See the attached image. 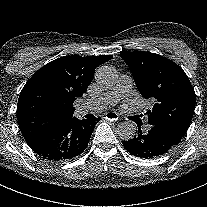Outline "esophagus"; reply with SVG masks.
Wrapping results in <instances>:
<instances>
[{"label": "esophagus", "mask_w": 207, "mask_h": 207, "mask_svg": "<svg viewBox=\"0 0 207 207\" xmlns=\"http://www.w3.org/2000/svg\"><path fill=\"white\" fill-rule=\"evenodd\" d=\"M105 118L109 121H117L119 119V115L114 111H110L105 114Z\"/></svg>", "instance_id": "esophagus-1"}]
</instances>
